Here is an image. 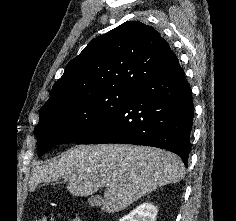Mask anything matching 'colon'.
Listing matches in <instances>:
<instances>
[{
    "instance_id": "1",
    "label": "colon",
    "mask_w": 236,
    "mask_h": 221,
    "mask_svg": "<svg viewBox=\"0 0 236 221\" xmlns=\"http://www.w3.org/2000/svg\"><path fill=\"white\" fill-rule=\"evenodd\" d=\"M35 221H54V218L52 214L47 213L44 216L36 219ZM67 221H82V220L78 216H73V217H70Z\"/></svg>"
}]
</instances>
